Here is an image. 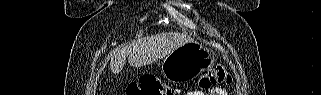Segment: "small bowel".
Masks as SVG:
<instances>
[{"mask_svg": "<svg viewBox=\"0 0 321 95\" xmlns=\"http://www.w3.org/2000/svg\"><path fill=\"white\" fill-rule=\"evenodd\" d=\"M208 94H224V90L222 89H215V90H211ZM189 95H204V93L201 92H191L189 93Z\"/></svg>", "mask_w": 321, "mask_h": 95, "instance_id": "obj_1", "label": "small bowel"}]
</instances>
